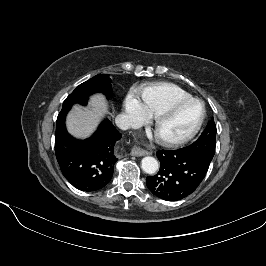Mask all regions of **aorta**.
I'll return each instance as SVG.
<instances>
[{
  "mask_svg": "<svg viewBox=\"0 0 266 266\" xmlns=\"http://www.w3.org/2000/svg\"><path fill=\"white\" fill-rule=\"evenodd\" d=\"M141 167L147 174H154L159 169V163L154 157H144L141 161Z\"/></svg>",
  "mask_w": 266,
  "mask_h": 266,
  "instance_id": "1",
  "label": "aorta"
}]
</instances>
